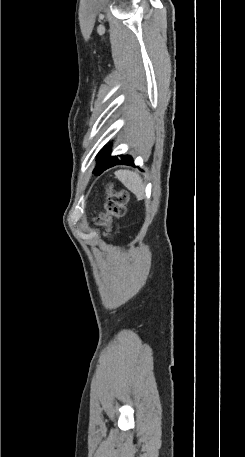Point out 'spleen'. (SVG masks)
I'll list each match as a JSON object with an SVG mask.
<instances>
[{
	"label": "spleen",
	"mask_w": 245,
	"mask_h": 457,
	"mask_svg": "<svg viewBox=\"0 0 245 457\" xmlns=\"http://www.w3.org/2000/svg\"><path fill=\"white\" fill-rule=\"evenodd\" d=\"M115 174L131 192H134L138 200H142L145 196V186L140 174L133 170H115Z\"/></svg>",
	"instance_id": "3e777b00"
}]
</instances>
